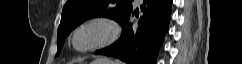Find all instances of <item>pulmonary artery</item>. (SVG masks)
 Masks as SVG:
<instances>
[{"label":"pulmonary artery","instance_id":"1","mask_svg":"<svg viewBox=\"0 0 242 64\" xmlns=\"http://www.w3.org/2000/svg\"><path fill=\"white\" fill-rule=\"evenodd\" d=\"M136 2H137V3H140V2H141V0H136Z\"/></svg>","mask_w":242,"mask_h":64}]
</instances>
